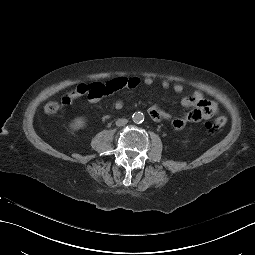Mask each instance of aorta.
Wrapping results in <instances>:
<instances>
[{"instance_id":"aorta-1","label":"aorta","mask_w":255,"mask_h":255,"mask_svg":"<svg viewBox=\"0 0 255 255\" xmlns=\"http://www.w3.org/2000/svg\"><path fill=\"white\" fill-rule=\"evenodd\" d=\"M132 120L134 123L136 124H140L144 121V115L143 113L141 112H135L133 115H132Z\"/></svg>"}]
</instances>
